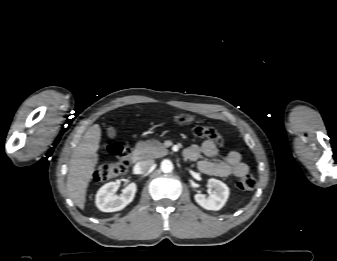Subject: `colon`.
<instances>
[{
  "label": "colon",
  "instance_id": "1",
  "mask_svg": "<svg viewBox=\"0 0 337 261\" xmlns=\"http://www.w3.org/2000/svg\"><path fill=\"white\" fill-rule=\"evenodd\" d=\"M193 134L199 139L209 140L218 144L223 143V136L216 129L206 126H196ZM109 153L115 158L113 163L99 164L93 173L95 181H106L116 178L126 172L130 165V150L128 147L112 143L108 146ZM236 187L241 191H249L255 187V179L250 174H245L236 182Z\"/></svg>",
  "mask_w": 337,
  "mask_h": 261
}]
</instances>
